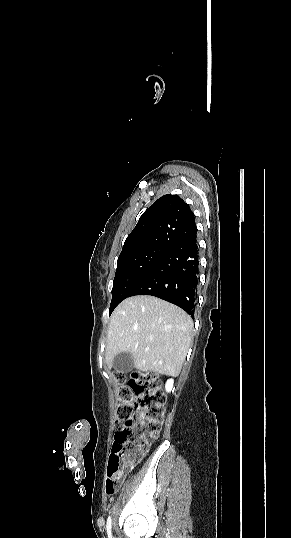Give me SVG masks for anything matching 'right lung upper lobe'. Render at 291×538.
<instances>
[{
	"label": "right lung upper lobe",
	"mask_w": 291,
	"mask_h": 538,
	"mask_svg": "<svg viewBox=\"0 0 291 538\" xmlns=\"http://www.w3.org/2000/svg\"><path fill=\"white\" fill-rule=\"evenodd\" d=\"M195 216L179 196L160 197L140 217L120 254L145 246L174 247L196 235Z\"/></svg>",
	"instance_id": "right-lung-upper-lobe-1"
}]
</instances>
